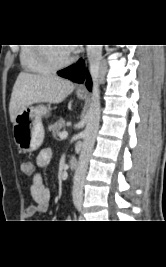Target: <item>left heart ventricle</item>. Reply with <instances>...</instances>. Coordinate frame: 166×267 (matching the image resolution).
Returning <instances> with one entry per match:
<instances>
[{"mask_svg": "<svg viewBox=\"0 0 166 267\" xmlns=\"http://www.w3.org/2000/svg\"><path fill=\"white\" fill-rule=\"evenodd\" d=\"M49 49L54 58L59 62L67 60L71 55L70 49L66 46H50Z\"/></svg>", "mask_w": 166, "mask_h": 267, "instance_id": "left-heart-ventricle-1", "label": "left heart ventricle"}]
</instances>
